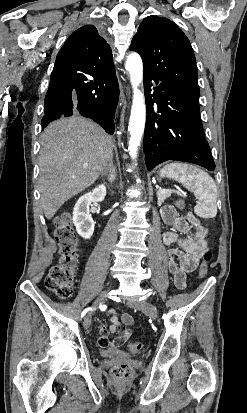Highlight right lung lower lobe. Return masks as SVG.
<instances>
[{
    "instance_id": "98d812e1",
    "label": "right lung lower lobe",
    "mask_w": 247,
    "mask_h": 413,
    "mask_svg": "<svg viewBox=\"0 0 247 413\" xmlns=\"http://www.w3.org/2000/svg\"><path fill=\"white\" fill-rule=\"evenodd\" d=\"M118 96L115 69L97 75L53 71L45 97L42 128L60 117L80 113L113 134Z\"/></svg>"
}]
</instances>
